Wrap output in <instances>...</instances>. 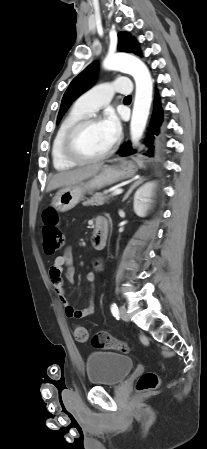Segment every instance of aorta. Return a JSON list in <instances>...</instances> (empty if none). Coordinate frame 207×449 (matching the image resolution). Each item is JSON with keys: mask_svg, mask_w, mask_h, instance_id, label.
<instances>
[{"mask_svg": "<svg viewBox=\"0 0 207 449\" xmlns=\"http://www.w3.org/2000/svg\"><path fill=\"white\" fill-rule=\"evenodd\" d=\"M107 70H117L132 75L136 83V94L130 123L133 141L143 135L152 102L153 81L147 66L137 57L128 54L108 55L103 61Z\"/></svg>", "mask_w": 207, "mask_h": 449, "instance_id": "762f6f07", "label": "aorta"}]
</instances>
